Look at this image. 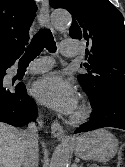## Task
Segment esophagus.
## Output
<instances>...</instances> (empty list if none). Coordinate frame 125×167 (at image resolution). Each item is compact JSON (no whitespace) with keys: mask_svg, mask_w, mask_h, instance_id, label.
Wrapping results in <instances>:
<instances>
[{"mask_svg":"<svg viewBox=\"0 0 125 167\" xmlns=\"http://www.w3.org/2000/svg\"><path fill=\"white\" fill-rule=\"evenodd\" d=\"M39 24L42 27L51 28L50 25V16H49V1L43 0L40 8V13L38 17ZM51 133L57 139H65L69 138L64 130L63 127L59 124V122L54 121L51 125Z\"/></svg>","mask_w":125,"mask_h":167,"instance_id":"34e87169","label":"esophagus"}]
</instances>
